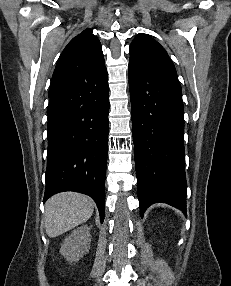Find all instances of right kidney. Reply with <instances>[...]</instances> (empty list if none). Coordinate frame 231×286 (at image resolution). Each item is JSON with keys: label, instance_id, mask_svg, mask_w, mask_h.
<instances>
[{"label": "right kidney", "instance_id": "ca27d5eb", "mask_svg": "<svg viewBox=\"0 0 231 286\" xmlns=\"http://www.w3.org/2000/svg\"><path fill=\"white\" fill-rule=\"evenodd\" d=\"M91 235L90 228L83 225L66 237L61 248L60 254L70 262H77L90 249Z\"/></svg>", "mask_w": 231, "mask_h": 286}]
</instances>
